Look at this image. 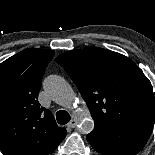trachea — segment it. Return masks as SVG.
I'll list each match as a JSON object with an SVG mask.
<instances>
[{
	"label": "trachea",
	"instance_id": "trachea-1",
	"mask_svg": "<svg viewBox=\"0 0 155 155\" xmlns=\"http://www.w3.org/2000/svg\"><path fill=\"white\" fill-rule=\"evenodd\" d=\"M57 122L61 125L68 123L71 120V116L65 110H60L56 113Z\"/></svg>",
	"mask_w": 155,
	"mask_h": 155
}]
</instances>
